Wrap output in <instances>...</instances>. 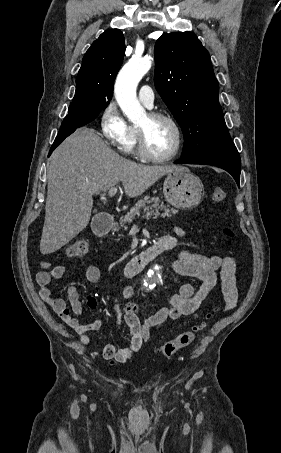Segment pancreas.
I'll use <instances>...</instances> for the list:
<instances>
[{
	"label": "pancreas",
	"mask_w": 281,
	"mask_h": 453,
	"mask_svg": "<svg viewBox=\"0 0 281 453\" xmlns=\"http://www.w3.org/2000/svg\"><path fill=\"white\" fill-rule=\"evenodd\" d=\"M153 202V204H151ZM160 210H163V212H160ZM172 212H176L174 208H167L165 206L164 202H160L159 196H144V198H141V200H138L132 208H130V212H127L125 216H121L119 220V224H114V227L112 231H119L121 227H125L127 229L126 224L127 222H132V218H135V216H140V212H143L144 218H158V216H172Z\"/></svg>",
	"instance_id": "cf45deb5"
}]
</instances>
